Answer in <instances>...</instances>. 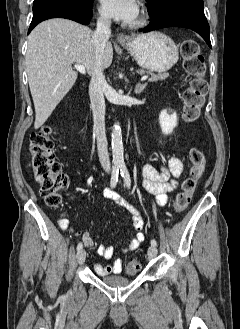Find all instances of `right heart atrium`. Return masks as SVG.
<instances>
[{
	"mask_svg": "<svg viewBox=\"0 0 240 329\" xmlns=\"http://www.w3.org/2000/svg\"><path fill=\"white\" fill-rule=\"evenodd\" d=\"M98 19L101 23H108L109 22L108 18L102 13L99 15Z\"/></svg>",
	"mask_w": 240,
	"mask_h": 329,
	"instance_id": "obj_1",
	"label": "right heart atrium"
}]
</instances>
